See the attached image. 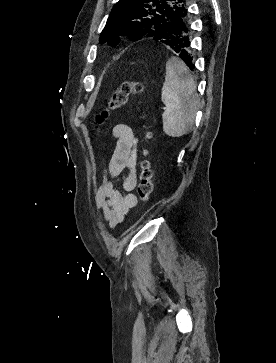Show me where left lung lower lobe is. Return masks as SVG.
Masks as SVG:
<instances>
[{"instance_id":"1","label":"left lung lower lobe","mask_w":276,"mask_h":363,"mask_svg":"<svg viewBox=\"0 0 276 363\" xmlns=\"http://www.w3.org/2000/svg\"><path fill=\"white\" fill-rule=\"evenodd\" d=\"M176 32L173 38H170L168 41L169 46L173 49L178 55L185 61L190 70L193 71V57H192V49L190 47V24L188 19H184L182 22L176 25ZM187 34V35H185Z\"/></svg>"}]
</instances>
